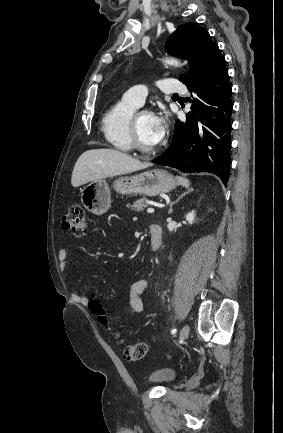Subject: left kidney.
<instances>
[{"mask_svg":"<svg viewBox=\"0 0 283 433\" xmlns=\"http://www.w3.org/2000/svg\"><path fill=\"white\" fill-rule=\"evenodd\" d=\"M186 220L188 221L189 224H193L194 220H195V211H191L186 215Z\"/></svg>","mask_w":283,"mask_h":433,"instance_id":"obj_1","label":"left kidney"}]
</instances>
